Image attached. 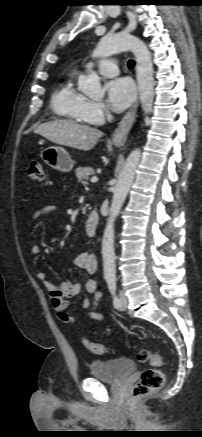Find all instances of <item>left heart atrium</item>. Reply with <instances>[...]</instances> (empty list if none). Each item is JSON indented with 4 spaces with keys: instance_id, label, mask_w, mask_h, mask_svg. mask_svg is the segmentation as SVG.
<instances>
[{
    "instance_id": "39dd6f15",
    "label": "left heart atrium",
    "mask_w": 202,
    "mask_h": 437,
    "mask_svg": "<svg viewBox=\"0 0 202 437\" xmlns=\"http://www.w3.org/2000/svg\"><path fill=\"white\" fill-rule=\"evenodd\" d=\"M107 101L116 112L126 109L135 98V88L128 78H116L106 86Z\"/></svg>"
}]
</instances>
